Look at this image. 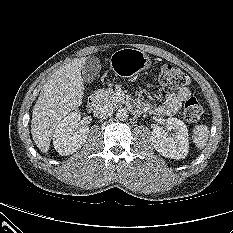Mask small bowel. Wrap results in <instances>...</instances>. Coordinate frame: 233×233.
I'll return each instance as SVG.
<instances>
[{
  "label": "small bowel",
  "mask_w": 233,
  "mask_h": 233,
  "mask_svg": "<svg viewBox=\"0 0 233 233\" xmlns=\"http://www.w3.org/2000/svg\"><path fill=\"white\" fill-rule=\"evenodd\" d=\"M190 95L191 92L188 88H180L176 92L168 93L162 104L142 103L139 109L150 114L172 116L178 112L182 102L186 101Z\"/></svg>",
  "instance_id": "small-bowel-1"
}]
</instances>
